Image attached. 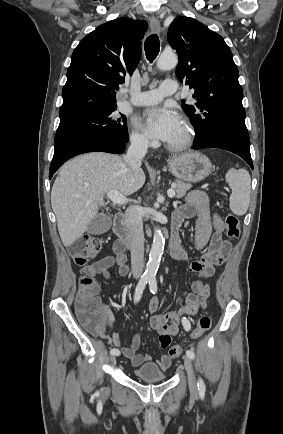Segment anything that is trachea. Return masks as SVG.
Returning <instances> with one entry per match:
<instances>
[{
    "label": "trachea",
    "instance_id": "3493384b",
    "mask_svg": "<svg viewBox=\"0 0 283 434\" xmlns=\"http://www.w3.org/2000/svg\"><path fill=\"white\" fill-rule=\"evenodd\" d=\"M144 49L147 59L152 62L157 57L160 49V41L158 35L152 34L147 37L144 44Z\"/></svg>",
    "mask_w": 283,
    "mask_h": 434
}]
</instances>
